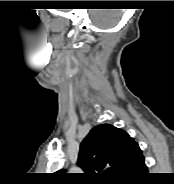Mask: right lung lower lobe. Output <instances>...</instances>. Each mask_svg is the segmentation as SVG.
Instances as JSON below:
<instances>
[{
  "instance_id": "98d812e1",
  "label": "right lung lower lobe",
  "mask_w": 174,
  "mask_h": 184,
  "mask_svg": "<svg viewBox=\"0 0 174 184\" xmlns=\"http://www.w3.org/2000/svg\"><path fill=\"white\" fill-rule=\"evenodd\" d=\"M148 176L147 167L142 157L132 168L119 180V184H141Z\"/></svg>"
}]
</instances>
